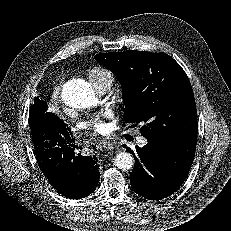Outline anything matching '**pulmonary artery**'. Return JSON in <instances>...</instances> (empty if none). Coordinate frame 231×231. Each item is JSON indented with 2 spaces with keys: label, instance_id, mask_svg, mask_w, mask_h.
Instances as JSON below:
<instances>
[{
  "label": "pulmonary artery",
  "instance_id": "1",
  "mask_svg": "<svg viewBox=\"0 0 231 231\" xmlns=\"http://www.w3.org/2000/svg\"><path fill=\"white\" fill-rule=\"evenodd\" d=\"M111 87V83L110 82H103L101 84H98L95 86L96 90L99 92V93H106ZM138 143L140 145H144L145 144V140L143 138H139L138 140Z\"/></svg>",
  "mask_w": 231,
  "mask_h": 231
}]
</instances>
